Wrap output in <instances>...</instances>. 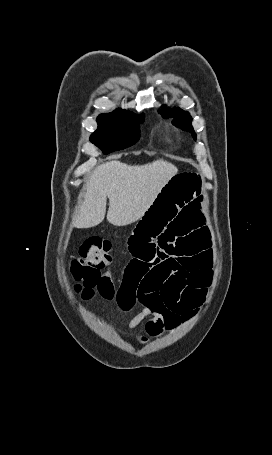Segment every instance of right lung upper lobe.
I'll return each instance as SVG.
<instances>
[{
  "instance_id": "cb5924a9",
  "label": "right lung upper lobe",
  "mask_w": 272,
  "mask_h": 455,
  "mask_svg": "<svg viewBox=\"0 0 272 455\" xmlns=\"http://www.w3.org/2000/svg\"><path fill=\"white\" fill-rule=\"evenodd\" d=\"M119 111H122V110H119V109H118V110H115L113 113H115V112H119Z\"/></svg>"
}]
</instances>
